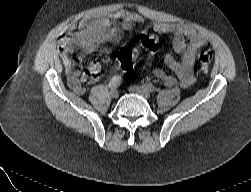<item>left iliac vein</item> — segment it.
<instances>
[{
  "label": "left iliac vein",
  "mask_w": 251,
  "mask_h": 192,
  "mask_svg": "<svg viewBox=\"0 0 251 192\" xmlns=\"http://www.w3.org/2000/svg\"><path fill=\"white\" fill-rule=\"evenodd\" d=\"M132 93L141 95L142 97H144L145 99H149L150 98V92L148 90H146L144 87L141 86H131L129 89Z\"/></svg>",
  "instance_id": "1"
}]
</instances>
